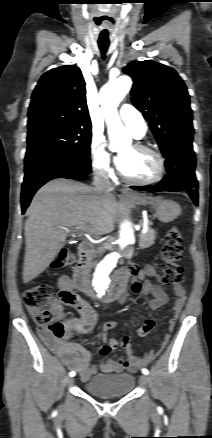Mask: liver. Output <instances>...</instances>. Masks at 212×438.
<instances>
[{
	"instance_id": "1",
	"label": "liver",
	"mask_w": 212,
	"mask_h": 438,
	"mask_svg": "<svg viewBox=\"0 0 212 438\" xmlns=\"http://www.w3.org/2000/svg\"><path fill=\"white\" fill-rule=\"evenodd\" d=\"M25 222L23 281L40 275L65 244L68 234L87 229L95 235L111 232L117 215L113 193L64 178L42 186L32 199Z\"/></svg>"
}]
</instances>
